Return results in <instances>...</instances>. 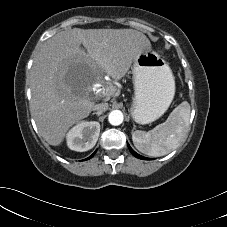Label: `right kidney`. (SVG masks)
Returning a JSON list of instances; mask_svg holds the SVG:
<instances>
[{
	"mask_svg": "<svg viewBox=\"0 0 227 227\" xmlns=\"http://www.w3.org/2000/svg\"><path fill=\"white\" fill-rule=\"evenodd\" d=\"M99 133V122H81L68 132L67 145L71 150L74 151H88L95 146L99 137Z\"/></svg>",
	"mask_w": 227,
	"mask_h": 227,
	"instance_id": "1",
	"label": "right kidney"
}]
</instances>
